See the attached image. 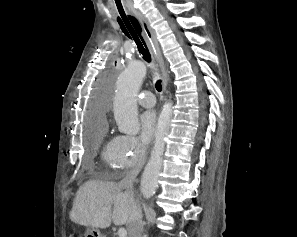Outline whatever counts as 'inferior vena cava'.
<instances>
[{
	"label": "inferior vena cava",
	"mask_w": 297,
	"mask_h": 237,
	"mask_svg": "<svg viewBox=\"0 0 297 237\" xmlns=\"http://www.w3.org/2000/svg\"><path fill=\"white\" fill-rule=\"evenodd\" d=\"M139 170L137 168L127 172L118 186L125 189V194L129 201V218L127 221L128 237H142L143 222L141 205L134 199L133 183Z\"/></svg>",
	"instance_id": "1"
}]
</instances>
